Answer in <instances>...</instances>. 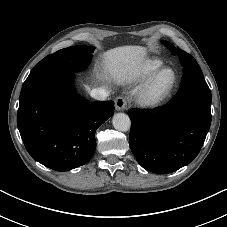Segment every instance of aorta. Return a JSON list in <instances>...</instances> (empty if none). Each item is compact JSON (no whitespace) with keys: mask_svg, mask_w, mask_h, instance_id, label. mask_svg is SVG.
Segmentation results:
<instances>
[{"mask_svg":"<svg viewBox=\"0 0 227 227\" xmlns=\"http://www.w3.org/2000/svg\"><path fill=\"white\" fill-rule=\"evenodd\" d=\"M113 126L118 131H128L131 126V120L125 113H116L112 119Z\"/></svg>","mask_w":227,"mask_h":227,"instance_id":"aorta-1","label":"aorta"}]
</instances>
